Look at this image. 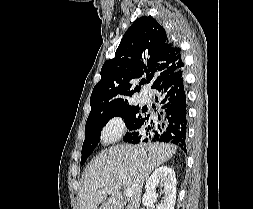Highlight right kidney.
<instances>
[{
  "instance_id": "ca27d5eb",
  "label": "right kidney",
  "mask_w": 253,
  "mask_h": 209,
  "mask_svg": "<svg viewBox=\"0 0 253 209\" xmlns=\"http://www.w3.org/2000/svg\"><path fill=\"white\" fill-rule=\"evenodd\" d=\"M163 186L164 196L156 209H174L176 200V177L172 168L161 166L152 173L145 185V194L142 198L147 209H153V202L157 198L156 187Z\"/></svg>"
}]
</instances>
